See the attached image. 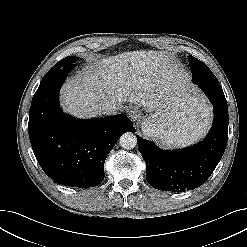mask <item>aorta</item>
Masks as SVG:
<instances>
[{"mask_svg":"<svg viewBox=\"0 0 247 247\" xmlns=\"http://www.w3.org/2000/svg\"><path fill=\"white\" fill-rule=\"evenodd\" d=\"M119 143L124 149H133L137 145V137L131 132H126L120 137Z\"/></svg>","mask_w":247,"mask_h":247,"instance_id":"obj_1","label":"aorta"}]
</instances>
